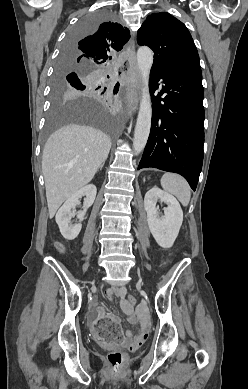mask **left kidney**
Wrapping results in <instances>:
<instances>
[{
  "mask_svg": "<svg viewBox=\"0 0 248 389\" xmlns=\"http://www.w3.org/2000/svg\"><path fill=\"white\" fill-rule=\"evenodd\" d=\"M158 200L167 204L161 217ZM144 207L150 232L158 245L162 248L172 247L183 222V211L179 202L174 196L153 187L145 194Z\"/></svg>",
  "mask_w": 248,
  "mask_h": 389,
  "instance_id": "1",
  "label": "left kidney"
}]
</instances>
